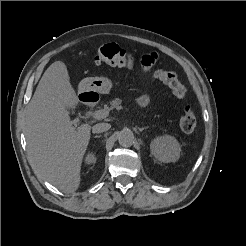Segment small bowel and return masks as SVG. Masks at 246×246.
<instances>
[{"instance_id":"1","label":"small bowel","mask_w":246,"mask_h":246,"mask_svg":"<svg viewBox=\"0 0 246 246\" xmlns=\"http://www.w3.org/2000/svg\"><path fill=\"white\" fill-rule=\"evenodd\" d=\"M156 59H157L156 54H150V55H147L144 57L143 62H144L146 67H150L154 64ZM149 102H150V98L147 94H143L138 98V104L141 107H147Z\"/></svg>"}]
</instances>
